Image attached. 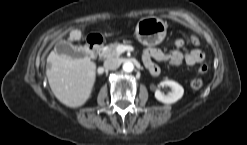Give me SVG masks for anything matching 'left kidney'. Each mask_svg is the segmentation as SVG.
Returning <instances> with one entry per match:
<instances>
[{"mask_svg":"<svg viewBox=\"0 0 247 145\" xmlns=\"http://www.w3.org/2000/svg\"><path fill=\"white\" fill-rule=\"evenodd\" d=\"M161 86H168L171 88V92L167 95H164L160 90H156L155 97L158 101L165 104H172L177 102L182 98L184 94L183 87L173 80H164L160 83Z\"/></svg>","mask_w":247,"mask_h":145,"instance_id":"5707ae66","label":"left kidney"}]
</instances>
